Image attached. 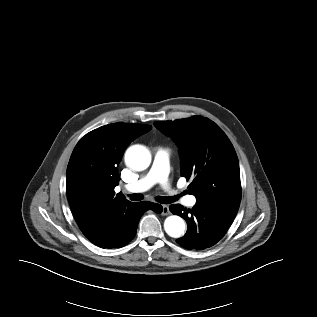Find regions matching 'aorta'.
Returning a JSON list of instances; mask_svg holds the SVG:
<instances>
[{
  "label": "aorta",
  "instance_id": "aorta-1",
  "mask_svg": "<svg viewBox=\"0 0 317 317\" xmlns=\"http://www.w3.org/2000/svg\"><path fill=\"white\" fill-rule=\"evenodd\" d=\"M125 163L135 171H143L147 169L151 163V154L149 150L142 145L131 146L125 153ZM185 228L184 220L177 215L168 216L164 221L165 232L173 238L181 237Z\"/></svg>",
  "mask_w": 317,
  "mask_h": 317
}]
</instances>
